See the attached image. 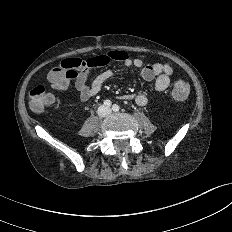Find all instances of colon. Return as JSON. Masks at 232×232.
<instances>
[{
    "instance_id": "obj_1",
    "label": "colon",
    "mask_w": 232,
    "mask_h": 232,
    "mask_svg": "<svg viewBox=\"0 0 232 232\" xmlns=\"http://www.w3.org/2000/svg\"><path fill=\"white\" fill-rule=\"evenodd\" d=\"M91 65L90 59H82L79 57H71L62 60L56 67L51 70V77L55 81L71 80L79 72L85 70ZM189 95V85L183 80H179L174 84L172 97L176 101H184ZM30 108L37 113L43 112L47 107L55 102V97L47 91L43 85H37L30 90L29 93Z\"/></svg>"
}]
</instances>
